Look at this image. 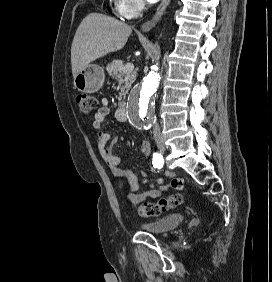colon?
<instances>
[{
	"label": "colon",
	"mask_w": 272,
	"mask_h": 282,
	"mask_svg": "<svg viewBox=\"0 0 272 282\" xmlns=\"http://www.w3.org/2000/svg\"><path fill=\"white\" fill-rule=\"evenodd\" d=\"M77 105L81 112L90 113L97 105L94 97L86 93H79L76 97ZM171 186L176 189H182L184 181L180 178H173ZM182 203V197L179 194L170 195L159 199L157 202H144L139 206V215L143 217L158 216L170 209L178 207Z\"/></svg>",
	"instance_id": "1"
}]
</instances>
